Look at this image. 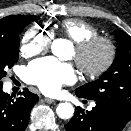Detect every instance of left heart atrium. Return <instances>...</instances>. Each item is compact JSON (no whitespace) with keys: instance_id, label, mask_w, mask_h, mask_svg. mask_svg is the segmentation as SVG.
<instances>
[{"instance_id":"left-heart-atrium-1","label":"left heart atrium","mask_w":131,"mask_h":131,"mask_svg":"<svg viewBox=\"0 0 131 131\" xmlns=\"http://www.w3.org/2000/svg\"><path fill=\"white\" fill-rule=\"evenodd\" d=\"M26 79L45 94L57 93L64 84H72L76 74L70 64L54 58H43L32 62L25 73Z\"/></svg>"}]
</instances>
